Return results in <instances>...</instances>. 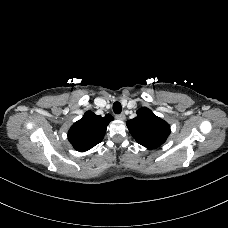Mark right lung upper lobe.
<instances>
[{"label":"right lung upper lobe","mask_w":228,"mask_h":228,"mask_svg":"<svg viewBox=\"0 0 228 228\" xmlns=\"http://www.w3.org/2000/svg\"><path fill=\"white\" fill-rule=\"evenodd\" d=\"M112 120L113 117L110 114L101 117L87 111L69 129L68 140L77 151H87L102 141L106 128Z\"/></svg>","instance_id":"cb5924a9"}]
</instances>
